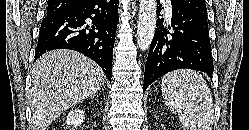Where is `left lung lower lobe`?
I'll list each match as a JSON object with an SVG mask.
<instances>
[{
    "label": "left lung lower lobe",
    "instance_id": "obj_1",
    "mask_svg": "<svg viewBox=\"0 0 249 130\" xmlns=\"http://www.w3.org/2000/svg\"><path fill=\"white\" fill-rule=\"evenodd\" d=\"M171 5V25L165 26L164 19L157 20V29L145 65L143 92L152 82L176 69L199 70L210 77L213 74L206 17L187 10L174 0H171Z\"/></svg>",
    "mask_w": 249,
    "mask_h": 130
}]
</instances>
